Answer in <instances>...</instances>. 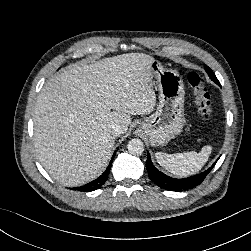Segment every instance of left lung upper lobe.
I'll return each instance as SVG.
<instances>
[{
  "instance_id": "1",
  "label": "left lung upper lobe",
  "mask_w": 251,
  "mask_h": 251,
  "mask_svg": "<svg viewBox=\"0 0 251 251\" xmlns=\"http://www.w3.org/2000/svg\"><path fill=\"white\" fill-rule=\"evenodd\" d=\"M204 67H205L206 72H207L208 75L210 76V78H211L216 84H218L217 82H219V81H218V79L216 78V76H215V74L213 73V71H212L207 65H205Z\"/></svg>"
}]
</instances>
